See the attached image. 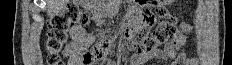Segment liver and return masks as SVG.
Masks as SVG:
<instances>
[{
  "label": "liver",
  "instance_id": "6515ba94",
  "mask_svg": "<svg viewBox=\"0 0 232 65\" xmlns=\"http://www.w3.org/2000/svg\"><path fill=\"white\" fill-rule=\"evenodd\" d=\"M69 0H45L47 4V14L50 17L58 15Z\"/></svg>",
  "mask_w": 232,
  "mask_h": 65
}]
</instances>
